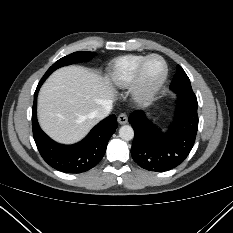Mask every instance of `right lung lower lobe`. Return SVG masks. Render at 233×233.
<instances>
[{"instance_id":"1","label":"right lung lower lobe","mask_w":233,"mask_h":233,"mask_svg":"<svg viewBox=\"0 0 233 233\" xmlns=\"http://www.w3.org/2000/svg\"><path fill=\"white\" fill-rule=\"evenodd\" d=\"M43 82L41 80L37 86L32 108L33 137L41 156L51 167L65 173H81L93 168L103 158L107 143L118 127L116 116L111 115L98 123L77 144L56 143L41 130L37 121V95Z\"/></svg>"}]
</instances>
